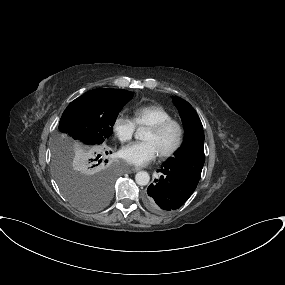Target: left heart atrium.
Here are the masks:
<instances>
[{
  "instance_id": "1",
  "label": "left heart atrium",
  "mask_w": 285,
  "mask_h": 285,
  "mask_svg": "<svg viewBox=\"0 0 285 285\" xmlns=\"http://www.w3.org/2000/svg\"><path fill=\"white\" fill-rule=\"evenodd\" d=\"M120 156L135 166H144L153 161L159 154L156 146L150 141L135 142L123 147Z\"/></svg>"
}]
</instances>
